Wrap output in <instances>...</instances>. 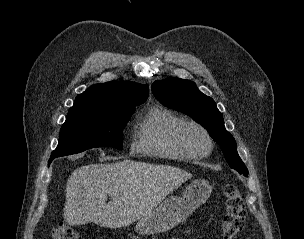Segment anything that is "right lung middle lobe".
Wrapping results in <instances>:
<instances>
[{
    "mask_svg": "<svg viewBox=\"0 0 304 239\" xmlns=\"http://www.w3.org/2000/svg\"><path fill=\"white\" fill-rule=\"evenodd\" d=\"M134 110V106H127L120 111L68 114L60 130L59 144L51 157L75 154L103 146L121 150L122 130Z\"/></svg>",
    "mask_w": 304,
    "mask_h": 239,
    "instance_id": "dd1d6c3e",
    "label": "right lung middle lobe"
}]
</instances>
